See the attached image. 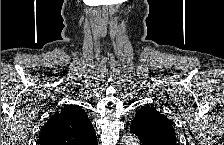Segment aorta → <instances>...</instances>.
I'll return each mask as SVG.
<instances>
[{
    "label": "aorta",
    "instance_id": "762f6f07",
    "mask_svg": "<svg viewBox=\"0 0 224 145\" xmlns=\"http://www.w3.org/2000/svg\"><path fill=\"white\" fill-rule=\"evenodd\" d=\"M121 145H139V140L134 135H124L121 139Z\"/></svg>",
    "mask_w": 224,
    "mask_h": 145
}]
</instances>
